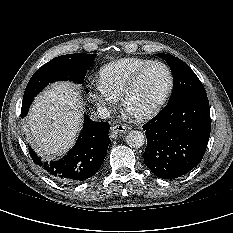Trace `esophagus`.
I'll use <instances>...</instances> for the list:
<instances>
[{
	"instance_id": "obj_1",
	"label": "esophagus",
	"mask_w": 233,
	"mask_h": 233,
	"mask_svg": "<svg viewBox=\"0 0 233 233\" xmlns=\"http://www.w3.org/2000/svg\"><path fill=\"white\" fill-rule=\"evenodd\" d=\"M111 131L113 135H120L122 133H125L127 131V126L126 125H113L111 127Z\"/></svg>"
}]
</instances>
